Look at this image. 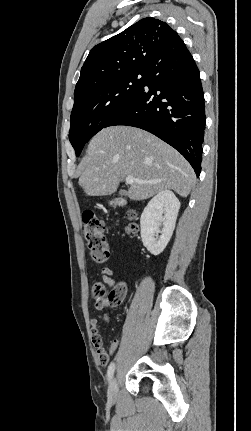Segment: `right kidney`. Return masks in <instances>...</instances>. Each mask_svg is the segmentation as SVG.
<instances>
[{
    "instance_id": "right-kidney-1",
    "label": "right kidney",
    "mask_w": 251,
    "mask_h": 431,
    "mask_svg": "<svg viewBox=\"0 0 251 431\" xmlns=\"http://www.w3.org/2000/svg\"><path fill=\"white\" fill-rule=\"evenodd\" d=\"M180 202L170 190H162L147 204L141 214V238L143 245L153 255L166 248L175 229ZM163 228L160 230V226ZM160 234V236H158Z\"/></svg>"
}]
</instances>
